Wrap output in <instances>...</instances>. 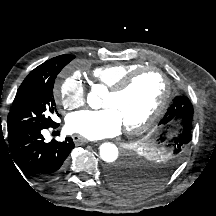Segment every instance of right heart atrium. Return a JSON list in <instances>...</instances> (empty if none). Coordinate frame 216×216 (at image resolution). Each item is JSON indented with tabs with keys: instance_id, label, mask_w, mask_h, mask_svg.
<instances>
[{
	"instance_id": "1",
	"label": "right heart atrium",
	"mask_w": 216,
	"mask_h": 216,
	"mask_svg": "<svg viewBox=\"0 0 216 216\" xmlns=\"http://www.w3.org/2000/svg\"><path fill=\"white\" fill-rule=\"evenodd\" d=\"M86 87L75 75L62 80L54 92L57 104L66 109H75L84 105Z\"/></svg>"
}]
</instances>
